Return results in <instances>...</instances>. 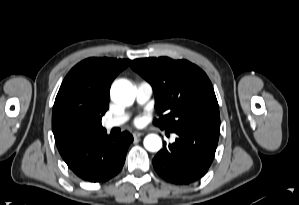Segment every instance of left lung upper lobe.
Returning a JSON list of instances; mask_svg holds the SVG:
<instances>
[{"label":"left lung upper lobe","instance_id":"1","mask_svg":"<svg viewBox=\"0 0 299 205\" xmlns=\"http://www.w3.org/2000/svg\"><path fill=\"white\" fill-rule=\"evenodd\" d=\"M131 67L153 87L159 119L167 131L220 125L219 106L207 75L187 60L135 59Z\"/></svg>","mask_w":299,"mask_h":205}]
</instances>
